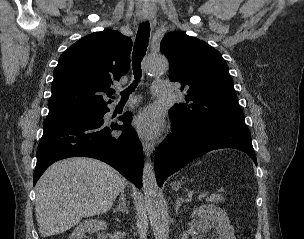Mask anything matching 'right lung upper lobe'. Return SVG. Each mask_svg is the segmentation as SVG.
Listing matches in <instances>:
<instances>
[{
  "label": "right lung upper lobe",
  "mask_w": 304,
  "mask_h": 239,
  "mask_svg": "<svg viewBox=\"0 0 304 239\" xmlns=\"http://www.w3.org/2000/svg\"><path fill=\"white\" fill-rule=\"evenodd\" d=\"M131 48L129 37L112 30L92 33L70 46L53 73L46 119L107 107L102 93L111 97L113 81L128 72Z\"/></svg>",
  "instance_id": "1"
}]
</instances>
